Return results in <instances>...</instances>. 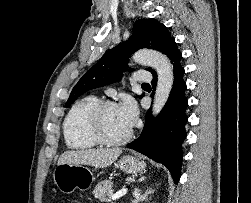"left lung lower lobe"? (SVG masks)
Returning <instances> with one entry per match:
<instances>
[{"label":"left lung lower lobe","instance_id":"1","mask_svg":"<svg viewBox=\"0 0 251 203\" xmlns=\"http://www.w3.org/2000/svg\"><path fill=\"white\" fill-rule=\"evenodd\" d=\"M165 55L171 60L174 73L170 96L156 118H153L151 112L146 113V124L141 135L127 144V147L165 165L175 183H178L183 160L182 144L187 136L185 130L188 120L186 115L188 100L185 97L187 87L183 80L184 68L180 64L182 53L178 50L175 40L172 41ZM151 73L153 74L152 85L155 88L157 74L155 71Z\"/></svg>","mask_w":251,"mask_h":203}]
</instances>
